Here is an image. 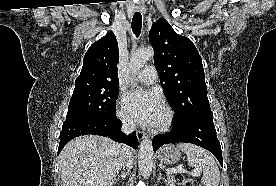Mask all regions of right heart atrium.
Wrapping results in <instances>:
<instances>
[{
    "instance_id": "d8ad5b80",
    "label": "right heart atrium",
    "mask_w": 276,
    "mask_h": 186,
    "mask_svg": "<svg viewBox=\"0 0 276 186\" xmlns=\"http://www.w3.org/2000/svg\"><path fill=\"white\" fill-rule=\"evenodd\" d=\"M117 117L125 128L133 127V121L127 113L124 98H121L117 103Z\"/></svg>"
}]
</instances>
